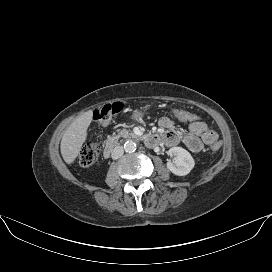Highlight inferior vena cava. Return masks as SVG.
<instances>
[{
    "label": "inferior vena cava",
    "instance_id": "inferior-vena-cava-1",
    "mask_svg": "<svg viewBox=\"0 0 272 272\" xmlns=\"http://www.w3.org/2000/svg\"><path fill=\"white\" fill-rule=\"evenodd\" d=\"M123 153H124L123 147L120 145H117L114 147L111 157L112 159L116 160V159H119L123 155Z\"/></svg>",
    "mask_w": 272,
    "mask_h": 272
}]
</instances>
